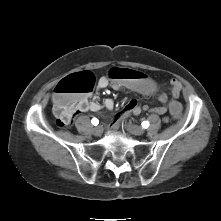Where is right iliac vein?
<instances>
[{"label":"right iliac vein","instance_id":"63e3f726","mask_svg":"<svg viewBox=\"0 0 221 221\" xmlns=\"http://www.w3.org/2000/svg\"><path fill=\"white\" fill-rule=\"evenodd\" d=\"M102 132H103V127L101 125H99L93 129V134L95 136H100L102 134Z\"/></svg>","mask_w":221,"mask_h":221}]
</instances>
